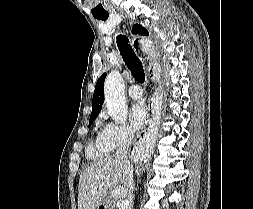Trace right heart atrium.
Here are the masks:
<instances>
[{
	"label": "right heart atrium",
	"instance_id": "obj_1",
	"mask_svg": "<svg viewBox=\"0 0 253 209\" xmlns=\"http://www.w3.org/2000/svg\"><path fill=\"white\" fill-rule=\"evenodd\" d=\"M99 136L104 145L113 150L122 144L131 143L134 134L125 123L106 122Z\"/></svg>",
	"mask_w": 253,
	"mask_h": 209
}]
</instances>
